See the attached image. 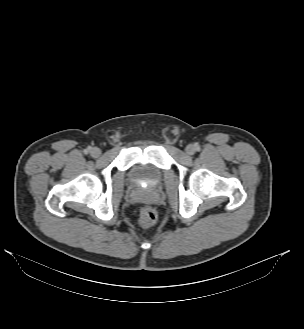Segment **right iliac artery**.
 I'll return each mask as SVG.
<instances>
[{
  "label": "right iliac artery",
  "mask_w": 304,
  "mask_h": 329,
  "mask_svg": "<svg viewBox=\"0 0 304 329\" xmlns=\"http://www.w3.org/2000/svg\"><path fill=\"white\" fill-rule=\"evenodd\" d=\"M91 151V147H88V148H86L85 150H84V152L87 154V153H89Z\"/></svg>",
  "instance_id": "1"
}]
</instances>
